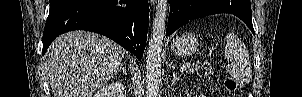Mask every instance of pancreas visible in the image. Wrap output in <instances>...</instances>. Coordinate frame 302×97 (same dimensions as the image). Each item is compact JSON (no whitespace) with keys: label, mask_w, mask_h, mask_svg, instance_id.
I'll use <instances>...</instances> for the list:
<instances>
[{"label":"pancreas","mask_w":302,"mask_h":97,"mask_svg":"<svg viewBox=\"0 0 302 97\" xmlns=\"http://www.w3.org/2000/svg\"><path fill=\"white\" fill-rule=\"evenodd\" d=\"M201 68L198 62L192 63V65L188 68L186 71L187 73L191 74L194 73L195 71H198Z\"/></svg>","instance_id":"obj_1"}]
</instances>
